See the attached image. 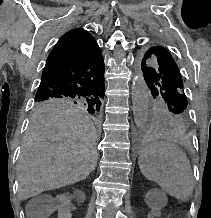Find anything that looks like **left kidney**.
<instances>
[{
  "label": "left kidney",
  "mask_w": 211,
  "mask_h": 218,
  "mask_svg": "<svg viewBox=\"0 0 211 218\" xmlns=\"http://www.w3.org/2000/svg\"><path fill=\"white\" fill-rule=\"evenodd\" d=\"M148 193H150V192H148ZM147 204H149V203H147ZM149 218H160V216L159 215H149Z\"/></svg>",
  "instance_id": "5707ae66"
}]
</instances>
